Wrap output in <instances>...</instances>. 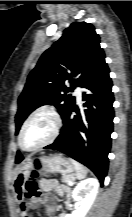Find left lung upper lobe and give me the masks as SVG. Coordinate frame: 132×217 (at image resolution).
I'll use <instances>...</instances> for the list:
<instances>
[{
  "label": "left lung upper lobe",
  "instance_id": "left-lung-upper-lobe-1",
  "mask_svg": "<svg viewBox=\"0 0 132 217\" xmlns=\"http://www.w3.org/2000/svg\"><path fill=\"white\" fill-rule=\"evenodd\" d=\"M104 61L105 54L93 25L72 23L42 54L29 74L18 99L16 134L27 116L39 106L55 105L63 117L74 106V97L67 93L77 86L83 87ZM64 82H70L71 86L66 87ZM17 157L22 155L18 152Z\"/></svg>",
  "mask_w": 132,
  "mask_h": 217
}]
</instances>
